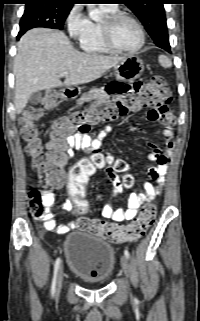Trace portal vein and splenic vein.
Listing matches in <instances>:
<instances>
[{
    "label": "portal vein and splenic vein",
    "mask_w": 200,
    "mask_h": 321,
    "mask_svg": "<svg viewBox=\"0 0 200 321\" xmlns=\"http://www.w3.org/2000/svg\"><path fill=\"white\" fill-rule=\"evenodd\" d=\"M65 75H66V72L61 73V76H65Z\"/></svg>",
    "instance_id": "portal-vein-and-splenic-vein-1"
}]
</instances>
